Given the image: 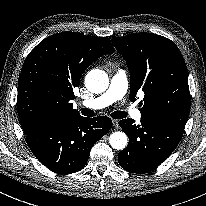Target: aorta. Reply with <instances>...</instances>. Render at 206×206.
Wrapping results in <instances>:
<instances>
[{
  "instance_id": "1",
  "label": "aorta",
  "mask_w": 206,
  "mask_h": 206,
  "mask_svg": "<svg viewBox=\"0 0 206 206\" xmlns=\"http://www.w3.org/2000/svg\"><path fill=\"white\" fill-rule=\"evenodd\" d=\"M108 85L109 78L103 70H91L85 77V86L92 93H102L108 88ZM109 143L112 148L123 150L128 143L127 135L121 131L114 132L109 137Z\"/></svg>"
}]
</instances>
